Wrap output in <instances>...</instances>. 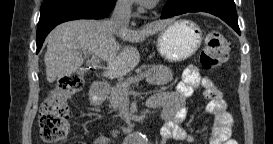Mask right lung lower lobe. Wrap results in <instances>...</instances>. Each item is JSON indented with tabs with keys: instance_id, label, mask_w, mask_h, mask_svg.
<instances>
[{
	"instance_id": "1",
	"label": "right lung lower lobe",
	"mask_w": 273,
	"mask_h": 144,
	"mask_svg": "<svg viewBox=\"0 0 273 144\" xmlns=\"http://www.w3.org/2000/svg\"><path fill=\"white\" fill-rule=\"evenodd\" d=\"M116 0H44L37 26V53L45 37L58 24L75 19H101L113 10Z\"/></svg>"
}]
</instances>
